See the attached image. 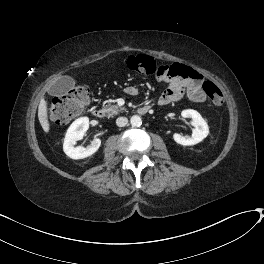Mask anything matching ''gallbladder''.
Listing matches in <instances>:
<instances>
[{"instance_id":"gallbladder-1","label":"gallbladder","mask_w":264,"mask_h":264,"mask_svg":"<svg viewBox=\"0 0 264 264\" xmlns=\"http://www.w3.org/2000/svg\"><path fill=\"white\" fill-rule=\"evenodd\" d=\"M75 86V80L70 76L61 77L52 87V93L63 94Z\"/></svg>"}]
</instances>
